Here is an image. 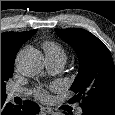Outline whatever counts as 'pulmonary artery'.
<instances>
[{
    "instance_id": "1",
    "label": "pulmonary artery",
    "mask_w": 115,
    "mask_h": 115,
    "mask_svg": "<svg viewBox=\"0 0 115 115\" xmlns=\"http://www.w3.org/2000/svg\"><path fill=\"white\" fill-rule=\"evenodd\" d=\"M47 67L51 72H59L65 64V59L60 56H46ZM26 94L25 89L22 88H13L9 91L8 97L10 99L15 97H21ZM81 108L77 109V112L80 113Z\"/></svg>"
}]
</instances>
